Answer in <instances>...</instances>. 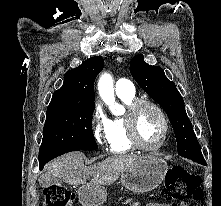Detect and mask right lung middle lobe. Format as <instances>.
Instances as JSON below:
<instances>
[{"mask_svg": "<svg viewBox=\"0 0 221 206\" xmlns=\"http://www.w3.org/2000/svg\"><path fill=\"white\" fill-rule=\"evenodd\" d=\"M94 107L46 112L39 162L70 151L97 149L92 132Z\"/></svg>", "mask_w": 221, "mask_h": 206, "instance_id": "1", "label": "right lung middle lobe"}]
</instances>
